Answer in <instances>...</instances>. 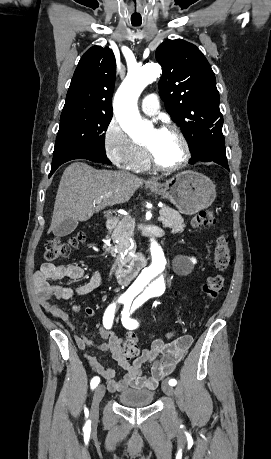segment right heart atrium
I'll return each mask as SVG.
<instances>
[{"label": "right heart atrium", "mask_w": 271, "mask_h": 459, "mask_svg": "<svg viewBox=\"0 0 271 459\" xmlns=\"http://www.w3.org/2000/svg\"><path fill=\"white\" fill-rule=\"evenodd\" d=\"M103 149L106 156L120 168H130L145 152V148L131 140L115 120H111L103 132Z\"/></svg>", "instance_id": "d8ad5b80"}]
</instances>
